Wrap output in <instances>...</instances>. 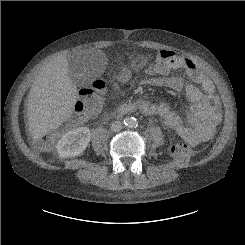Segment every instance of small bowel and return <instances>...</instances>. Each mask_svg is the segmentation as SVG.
Here are the masks:
<instances>
[{"label":"small bowel","mask_w":245,"mask_h":245,"mask_svg":"<svg viewBox=\"0 0 245 245\" xmlns=\"http://www.w3.org/2000/svg\"><path fill=\"white\" fill-rule=\"evenodd\" d=\"M157 59L163 67L150 72L158 73L159 76L146 79V83L178 92L184 87L183 81L181 77L169 73L184 70L192 81V84L186 87L191 104L185 115L178 114L164 102L152 105L140 101V111L146 115H158L167 126L191 145L210 140L215 132L214 119L219 117L218 101L215 104L209 101L210 96L215 94L213 81L191 59L170 50L160 51Z\"/></svg>","instance_id":"1"}]
</instances>
